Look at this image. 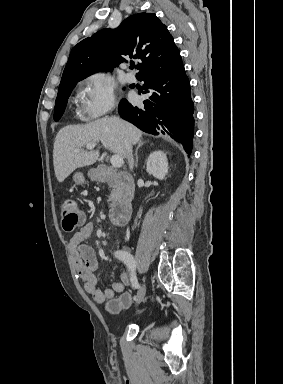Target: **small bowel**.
<instances>
[{"mask_svg":"<svg viewBox=\"0 0 283 384\" xmlns=\"http://www.w3.org/2000/svg\"><path fill=\"white\" fill-rule=\"evenodd\" d=\"M94 231L92 223L84 224L70 239V253L75 270L83 282L84 289L93 300L99 304L108 303L115 295L122 293L131 282V275L125 269L120 273V279L112 282L108 288L98 287L95 271L98 268V260L95 250L86 243Z\"/></svg>","mask_w":283,"mask_h":384,"instance_id":"obj_1","label":"small bowel"}]
</instances>
